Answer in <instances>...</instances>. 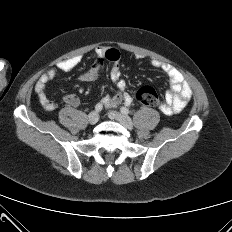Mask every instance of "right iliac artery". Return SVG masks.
I'll return each mask as SVG.
<instances>
[{"instance_id": "right-iliac-artery-1", "label": "right iliac artery", "mask_w": 232, "mask_h": 232, "mask_svg": "<svg viewBox=\"0 0 232 232\" xmlns=\"http://www.w3.org/2000/svg\"><path fill=\"white\" fill-rule=\"evenodd\" d=\"M102 109H103V105H102V103H98V104H96V106H95V110H96V112H100Z\"/></svg>"}]
</instances>
